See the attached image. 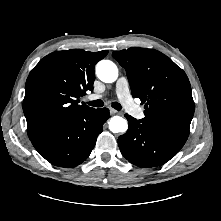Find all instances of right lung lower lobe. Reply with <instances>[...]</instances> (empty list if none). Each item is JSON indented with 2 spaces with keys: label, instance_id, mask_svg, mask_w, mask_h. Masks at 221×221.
I'll use <instances>...</instances> for the list:
<instances>
[{
  "label": "right lung lower lobe",
  "instance_id": "right-lung-lower-lobe-1",
  "mask_svg": "<svg viewBox=\"0 0 221 221\" xmlns=\"http://www.w3.org/2000/svg\"><path fill=\"white\" fill-rule=\"evenodd\" d=\"M109 116L107 108L91 109L77 115L62 128L37 135L30 140L48 162L72 168L90 155Z\"/></svg>",
  "mask_w": 221,
  "mask_h": 221
}]
</instances>
